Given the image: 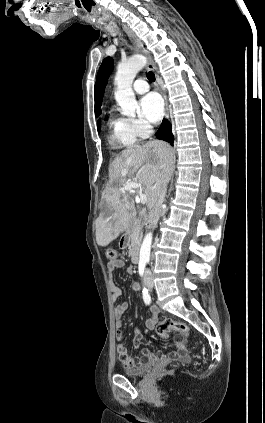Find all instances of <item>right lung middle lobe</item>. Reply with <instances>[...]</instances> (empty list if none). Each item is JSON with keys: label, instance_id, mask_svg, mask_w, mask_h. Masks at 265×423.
<instances>
[{"label": "right lung middle lobe", "instance_id": "obj_1", "mask_svg": "<svg viewBox=\"0 0 265 423\" xmlns=\"http://www.w3.org/2000/svg\"><path fill=\"white\" fill-rule=\"evenodd\" d=\"M100 127H101V125H100V120L97 122V128H98V131L100 130Z\"/></svg>", "mask_w": 265, "mask_h": 423}]
</instances>
